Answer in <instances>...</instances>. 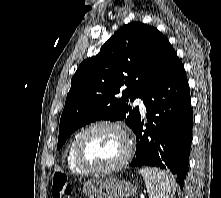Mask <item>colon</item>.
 Masks as SVG:
<instances>
[{
  "label": "colon",
  "mask_w": 221,
  "mask_h": 198,
  "mask_svg": "<svg viewBox=\"0 0 221 198\" xmlns=\"http://www.w3.org/2000/svg\"><path fill=\"white\" fill-rule=\"evenodd\" d=\"M53 198H72V187L64 174L57 173L52 183Z\"/></svg>",
  "instance_id": "obj_1"
}]
</instances>
